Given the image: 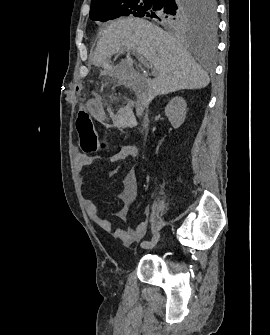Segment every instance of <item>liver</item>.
I'll list each match as a JSON object with an SVG mask.
<instances>
[{"label":"liver","instance_id":"obj_1","mask_svg":"<svg viewBox=\"0 0 270 335\" xmlns=\"http://www.w3.org/2000/svg\"><path fill=\"white\" fill-rule=\"evenodd\" d=\"M126 50H136L152 62L156 78L145 82L150 96H163L177 90H198L210 82L207 72L196 64L179 38L144 18L129 16L111 22L96 46L93 64L123 74L133 64L130 56L116 68L109 66V58Z\"/></svg>","mask_w":270,"mask_h":335}]
</instances>
